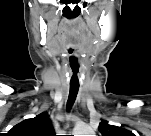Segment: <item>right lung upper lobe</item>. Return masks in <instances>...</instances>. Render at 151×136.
<instances>
[{
	"label": "right lung upper lobe",
	"instance_id": "cb5924a9",
	"mask_svg": "<svg viewBox=\"0 0 151 136\" xmlns=\"http://www.w3.org/2000/svg\"><path fill=\"white\" fill-rule=\"evenodd\" d=\"M10 132L14 136H55L52 122L45 112L18 123Z\"/></svg>",
	"mask_w": 151,
	"mask_h": 136
}]
</instances>
